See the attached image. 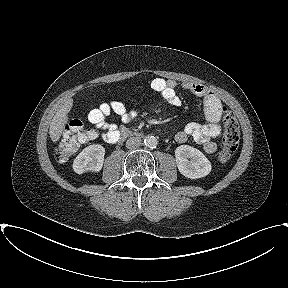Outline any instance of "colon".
Returning a JSON list of instances; mask_svg holds the SVG:
<instances>
[{"label": "colon", "mask_w": 288, "mask_h": 288, "mask_svg": "<svg viewBox=\"0 0 288 288\" xmlns=\"http://www.w3.org/2000/svg\"><path fill=\"white\" fill-rule=\"evenodd\" d=\"M95 131L87 128L80 120L70 121L62 134L56 148V156L60 161H66L84 142L93 139ZM240 140L239 124L235 116L229 111L224 112L223 146L218 153V161L227 162L236 151Z\"/></svg>", "instance_id": "obj_1"}]
</instances>
